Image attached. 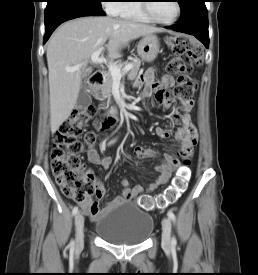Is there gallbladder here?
Segmentation results:
<instances>
[{
	"mask_svg": "<svg viewBox=\"0 0 258 275\" xmlns=\"http://www.w3.org/2000/svg\"><path fill=\"white\" fill-rule=\"evenodd\" d=\"M91 103L92 98L88 91L86 80L84 79L81 83L80 91L76 102V108L79 110H86Z\"/></svg>",
	"mask_w": 258,
	"mask_h": 275,
	"instance_id": "1",
	"label": "gallbladder"
}]
</instances>
